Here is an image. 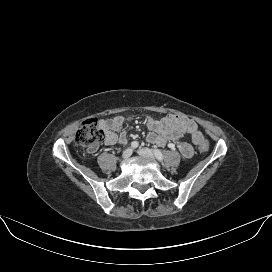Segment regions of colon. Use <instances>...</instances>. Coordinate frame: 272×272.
Listing matches in <instances>:
<instances>
[{
    "mask_svg": "<svg viewBox=\"0 0 272 272\" xmlns=\"http://www.w3.org/2000/svg\"><path fill=\"white\" fill-rule=\"evenodd\" d=\"M104 137V131L100 128L98 120L92 118L85 121L80 127L76 134L75 142L80 147L89 148L101 142ZM199 149L201 152H207L209 150L208 142H203Z\"/></svg>",
    "mask_w": 272,
    "mask_h": 272,
    "instance_id": "obj_1",
    "label": "colon"
}]
</instances>
